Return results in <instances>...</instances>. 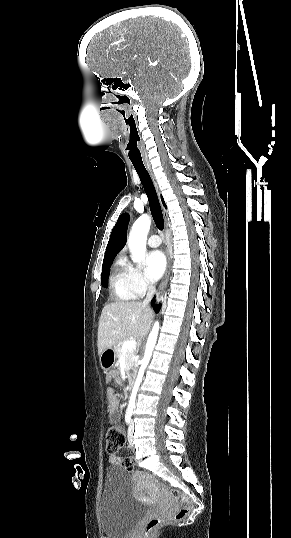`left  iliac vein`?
I'll list each match as a JSON object with an SVG mask.
<instances>
[{
    "instance_id": "obj_1",
    "label": "left iliac vein",
    "mask_w": 291,
    "mask_h": 538,
    "mask_svg": "<svg viewBox=\"0 0 291 538\" xmlns=\"http://www.w3.org/2000/svg\"><path fill=\"white\" fill-rule=\"evenodd\" d=\"M133 433H134V422L132 420L128 428V440L131 446H133Z\"/></svg>"
}]
</instances>
